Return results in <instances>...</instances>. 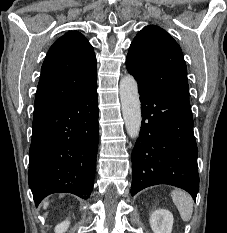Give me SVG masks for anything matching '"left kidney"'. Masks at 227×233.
<instances>
[{
  "mask_svg": "<svg viewBox=\"0 0 227 233\" xmlns=\"http://www.w3.org/2000/svg\"><path fill=\"white\" fill-rule=\"evenodd\" d=\"M173 215L165 209L155 210L150 217V226L154 233H171Z\"/></svg>",
  "mask_w": 227,
  "mask_h": 233,
  "instance_id": "5707ae66",
  "label": "left kidney"
}]
</instances>
